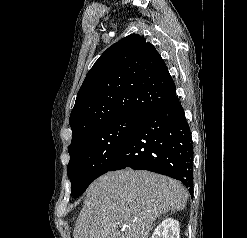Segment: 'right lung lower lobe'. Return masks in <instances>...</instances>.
Returning <instances> with one entry per match:
<instances>
[{
  "mask_svg": "<svg viewBox=\"0 0 247 238\" xmlns=\"http://www.w3.org/2000/svg\"><path fill=\"white\" fill-rule=\"evenodd\" d=\"M130 167L181 181L193 191V143L176 94L146 112L108 171Z\"/></svg>",
  "mask_w": 247,
  "mask_h": 238,
  "instance_id": "right-lung-lower-lobe-1",
  "label": "right lung lower lobe"
}]
</instances>
